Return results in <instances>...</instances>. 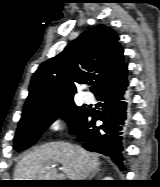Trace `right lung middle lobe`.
<instances>
[{
    "label": "right lung middle lobe",
    "instance_id": "right-lung-middle-lobe-1",
    "mask_svg": "<svg viewBox=\"0 0 160 187\" xmlns=\"http://www.w3.org/2000/svg\"><path fill=\"white\" fill-rule=\"evenodd\" d=\"M86 113L87 108L77 107L73 99L40 111L23 113L14 138L15 150L21 151L29 148L59 116L69 122L72 130Z\"/></svg>",
    "mask_w": 160,
    "mask_h": 187
}]
</instances>
